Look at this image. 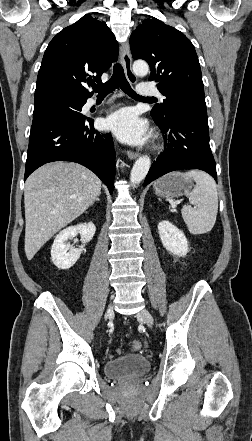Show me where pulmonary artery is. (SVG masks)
Instances as JSON below:
<instances>
[{
  "mask_svg": "<svg viewBox=\"0 0 252 441\" xmlns=\"http://www.w3.org/2000/svg\"><path fill=\"white\" fill-rule=\"evenodd\" d=\"M137 93L142 97L160 96L162 98V95L160 94L159 90L147 83L139 84L137 87ZM98 104L99 103L95 99H90L86 103V107L91 108Z\"/></svg>",
  "mask_w": 252,
  "mask_h": 441,
  "instance_id": "1",
  "label": "pulmonary artery"
}]
</instances>
